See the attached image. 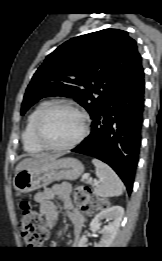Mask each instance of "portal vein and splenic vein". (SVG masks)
Instances as JSON below:
<instances>
[{"label":"portal vein and splenic vein","mask_w":162,"mask_h":261,"mask_svg":"<svg viewBox=\"0 0 162 261\" xmlns=\"http://www.w3.org/2000/svg\"><path fill=\"white\" fill-rule=\"evenodd\" d=\"M89 174H84L83 175V177H82V180H84V179H87L91 184H97V181L96 180H94V181H92V179L91 178H89Z\"/></svg>","instance_id":"portal-vein-and-splenic-vein-1"}]
</instances>
